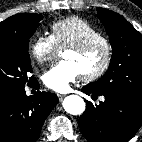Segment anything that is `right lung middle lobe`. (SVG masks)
I'll use <instances>...</instances> for the list:
<instances>
[{
    "label": "right lung middle lobe",
    "mask_w": 142,
    "mask_h": 142,
    "mask_svg": "<svg viewBox=\"0 0 142 142\" xmlns=\"http://www.w3.org/2000/svg\"><path fill=\"white\" fill-rule=\"evenodd\" d=\"M42 20L39 14H20L12 25L0 27V94L9 96L36 79L28 53L29 38Z\"/></svg>",
    "instance_id": "dd1d6c3e"
}]
</instances>
